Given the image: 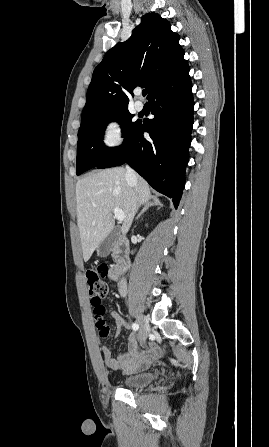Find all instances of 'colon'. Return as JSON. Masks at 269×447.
I'll return each instance as SVG.
<instances>
[{"instance_id":"5ec220e1","label":"colon","mask_w":269,"mask_h":447,"mask_svg":"<svg viewBox=\"0 0 269 447\" xmlns=\"http://www.w3.org/2000/svg\"><path fill=\"white\" fill-rule=\"evenodd\" d=\"M99 267H107L106 262H96L95 266H88L87 272L85 273L86 285L88 294L90 295L89 301L92 304L95 313L93 317L98 319L101 314L104 313V309L101 304L100 298L105 297L108 294V286L105 280H103L98 275ZM108 325L104 322H97L95 324V329L97 332V337L99 339H106L108 337V332L106 329Z\"/></svg>"}]
</instances>
